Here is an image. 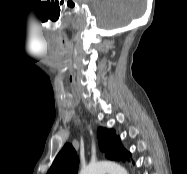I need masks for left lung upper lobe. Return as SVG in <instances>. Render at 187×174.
<instances>
[{
	"label": "left lung upper lobe",
	"mask_w": 187,
	"mask_h": 174,
	"mask_svg": "<svg viewBox=\"0 0 187 174\" xmlns=\"http://www.w3.org/2000/svg\"><path fill=\"white\" fill-rule=\"evenodd\" d=\"M98 140L101 151L107 154L108 159L129 160L130 153H128L123 146H121L120 138L117 137L113 130L106 128L98 129ZM78 157L71 144H66L56 156L52 166L47 174H77Z\"/></svg>",
	"instance_id": "obj_1"
}]
</instances>
